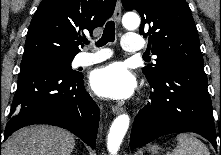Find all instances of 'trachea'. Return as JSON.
I'll return each instance as SVG.
<instances>
[{"label":"trachea","mask_w":221,"mask_h":155,"mask_svg":"<svg viewBox=\"0 0 221 155\" xmlns=\"http://www.w3.org/2000/svg\"><path fill=\"white\" fill-rule=\"evenodd\" d=\"M115 40V23L114 21H108L105 25L103 35L101 39L98 40L96 43V46L101 47L108 42H114ZM84 44H89V41L87 39L83 40Z\"/></svg>","instance_id":"3493384b"}]
</instances>
